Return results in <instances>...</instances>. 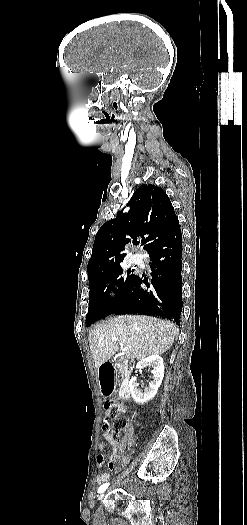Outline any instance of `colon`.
Listing matches in <instances>:
<instances>
[{"instance_id": "5ec220e1", "label": "colon", "mask_w": 247, "mask_h": 525, "mask_svg": "<svg viewBox=\"0 0 247 525\" xmlns=\"http://www.w3.org/2000/svg\"><path fill=\"white\" fill-rule=\"evenodd\" d=\"M105 411L103 424L110 432L117 434L125 429L126 419L123 417L122 404L119 401L107 403Z\"/></svg>"}]
</instances>
